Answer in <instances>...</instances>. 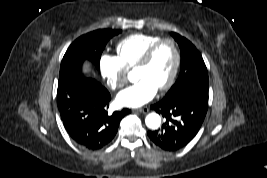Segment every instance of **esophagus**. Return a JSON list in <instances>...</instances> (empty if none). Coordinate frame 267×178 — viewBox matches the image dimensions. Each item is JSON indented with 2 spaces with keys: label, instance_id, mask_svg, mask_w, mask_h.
<instances>
[{
  "label": "esophagus",
  "instance_id": "esophagus-1",
  "mask_svg": "<svg viewBox=\"0 0 267 178\" xmlns=\"http://www.w3.org/2000/svg\"><path fill=\"white\" fill-rule=\"evenodd\" d=\"M135 112H140V113H148L149 112V108L148 107H144V108H140V109H135Z\"/></svg>",
  "mask_w": 267,
  "mask_h": 178
}]
</instances>
